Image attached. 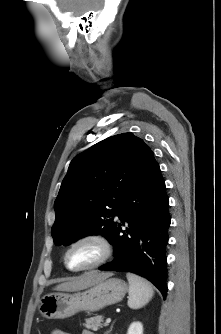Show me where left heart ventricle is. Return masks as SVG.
Wrapping results in <instances>:
<instances>
[{
  "mask_svg": "<svg viewBox=\"0 0 221 334\" xmlns=\"http://www.w3.org/2000/svg\"><path fill=\"white\" fill-rule=\"evenodd\" d=\"M100 256V248L95 243L87 242L74 247L68 257L71 267H83L96 261Z\"/></svg>",
  "mask_w": 221,
  "mask_h": 334,
  "instance_id": "b2bd125f",
  "label": "left heart ventricle"
}]
</instances>
